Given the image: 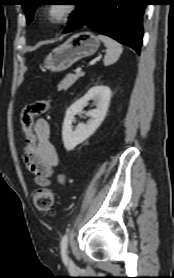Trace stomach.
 <instances>
[{"instance_id": "1", "label": "stomach", "mask_w": 174, "mask_h": 278, "mask_svg": "<svg viewBox=\"0 0 174 278\" xmlns=\"http://www.w3.org/2000/svg\"><path fill=\"white\" fill-rule=\"evenodd\" d=\"M98 48L99 41L92 33L75 34L46 56L44 66L51 72H61L76 61L93 55Z\"/></svg>"}]
</instances>
